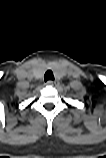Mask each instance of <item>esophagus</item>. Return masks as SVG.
I'll list each match as a JSON object with an SVG mask.
<instances>
[{"label":"esophagus","instance_id":"obj_1","mask_svg":"<svg viewBox=\"0 0 106 158\" xmlns=\"http://www.w3.org/2000/svg\"><path fill=\"white\" fill-rule=\"evenodd\" d=\"M46 83H47V85L54 86V85L58 84V81H56V80H48Z\"/></svg>","mask_w":106,"mask_h":158}]
</instances>
